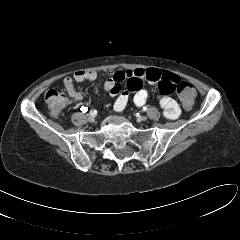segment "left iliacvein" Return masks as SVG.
<instances>
[{
  "label": "left iliac vein",
  "instance_id": "left-iliac-vein-1",
  "mask_svg": "<svg viewBox=\"0 0 240 240\" xmlns=\"http://www.w3.org/2000/svg\"><path fill=\"white\" fill-rule=\"evenodd\" d=\"M137 120L138 121H146L147 117L146 116H139V117H137Z\"/></svg>",
  "mask_w": 240,
  "mask_h": 240
}]
</instances>
